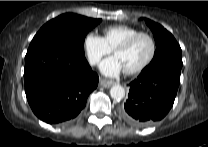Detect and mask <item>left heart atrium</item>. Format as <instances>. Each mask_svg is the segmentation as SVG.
Segmentation results:
<instances>
[{"label": "left heart atrium", "mask_w": 208, "mask_h": 147, "mask_svg": "<svg viewBox=\"0 0 208 147\" xmlns=\"http://www.w3.org/2000/svg\"><path fill=\"white\" fill-rule=\"evenodd\" d=\"M100 70L106 76L115 77L124 71V68L121 61L116 56H112L102 61Z\"/></svg>", "instance_id": "1"}]
</instances>
